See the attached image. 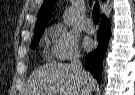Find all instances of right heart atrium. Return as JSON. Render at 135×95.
<instances>
[{"label":"right heart atrium","mask_w":135,"mask_h":95,"mask_svg":"<svg viewBox=\"0 0 135 95\" xmlns=\"http://www.w3.org/2000/svg\"><path fill=\"white\" fill-rule=\"evenodd\" d=\"M51 56L57 61L76 58L80 55L77 38L63 25L55 24L50 28Z\"/></svg>","instance_id":"right-heart-atrium-1"}]
</instances>
